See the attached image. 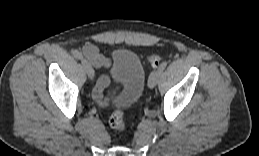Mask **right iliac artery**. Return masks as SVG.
Listing matches in <instances>:
<instances>
[{
  "label": "right iliac artery",
  "mask_w": 259,
  "mask_h": 156,
  "mask_svg": "<svg viewBox=\"0 0 259 156\" xmlns=\"http://www.w3.org/2000/svg\"><path fill=\"white\" fill-rule=\"evenodd\" d=\"M73 56H74L76 59H82V58H83L82 54H81L80 52H78V51H74V52H73Z\"/></svg>",
  "instance_id": "82829eb1"
}]
</instances>
